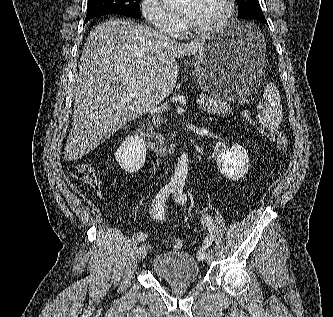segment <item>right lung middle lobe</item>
<instances>
[{
	"mask_svg": "<svg viewBox=\"0 0 333 317\" xmlns=\"http://www.w3.org/2000/svg\"><path fill=\"white\" fill-rule=\"evenodd\" d=\"M140 1L141 0H89L86 19L110 13L139 18Z\"/></svg>",
	"mask_w": 333,
	"mask_h": 317,
	"instance_id": "dd1d6c3e",
	"label": "right lung middle lobe"
}]
</instances>
